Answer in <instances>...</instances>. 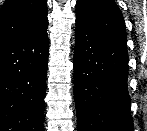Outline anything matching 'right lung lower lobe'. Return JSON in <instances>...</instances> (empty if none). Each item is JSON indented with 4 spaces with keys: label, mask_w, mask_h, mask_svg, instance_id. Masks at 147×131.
<instances>
[{
    "label": "right lung lower lobe",
    "mask_w": 147,
    "mask_h": 131,
    "mask_svg": "<svg viewBox=\"0 0 147 131\" xmlns=\"http://www.w3.org/2000/svg\"><path fill=\"white\" fill-rule=\"evenodd\" d=\"M47 28L0 45V131H43Z\"/></svg>",
    "instance_id": "obj_1"
}]
</instances>
